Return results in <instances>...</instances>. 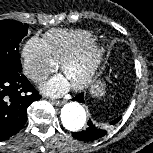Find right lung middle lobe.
Segmentation results:
<instances>
[{"label": "right lung middle lobe", "mask_w": 153, "mask_h": 153, "mask_svg": "<svg viewBox=\"0 0 153 153\" xmlns=\"http://www.w3.org/2000/svg\"><path fill=\"white\" fill-rule=\"evenodd\" d=\"M28 25L13 20L0 21V66L21 71L19 43L28 33Z\"/></svg>", "instance_id": "right-lung-middle-lobe-1"}]
</instances>
